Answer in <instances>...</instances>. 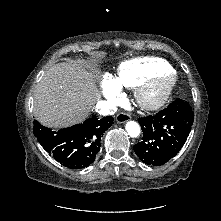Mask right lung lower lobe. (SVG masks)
Segmentation results:
<instances>
[{"mask_svg":"<svg viewBox=\"0 0 221 221\" xmlns=\"http://www.w3.org/2000/svg\"><path fill=\"white\" fill-rule=\"evenodd\" d=\"M112 124L111 116L102 119L93 116L82 124L52 131L35 120L33 133L56 161L70 169H82L94 162L101 137Z\"/></svg>","mask_w":221,"mask_h":221,"instance_id":"98d812e1","label":"right lung lower lobe"}]
</instances>
